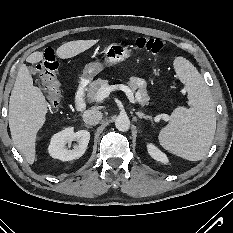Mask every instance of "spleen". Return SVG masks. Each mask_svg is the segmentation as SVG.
Here are the masks:
<instances>
[{
    "mask_svg": "<svg viewBox=\"0 0 233 233\" xmlns=\"http://www.w3.org/2000/svg\"><path fill=\"white\" fill-rule=\"evenodd\" d=\"M174 66L191 106L174 110L170 122L159 132L158 140L172 154L198 161L207 154L214 139L215 103L209 87L192 63L177 57Z\"/></svg>",
    "mask_w": 233,
    "mask_h": 233,
    "instance_id": "3e777b00",
    "label": "spleen"
}]
</instances>
